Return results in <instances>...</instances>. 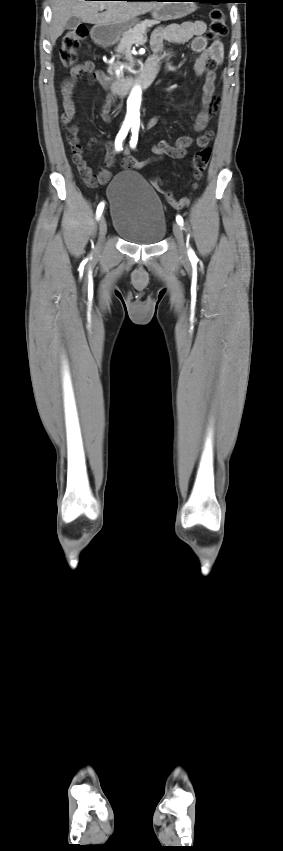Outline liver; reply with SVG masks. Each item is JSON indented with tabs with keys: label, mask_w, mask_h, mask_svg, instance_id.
I'll list each match as a JSON object with an SVG mask.
<instances>
[{
	"label": "liver",
	"mask_w": 283,
	"mask_h": 851,
	"mask_svg": "<svg viewBox=\"0 0 283 851\" xmlns=\"http://www.w3.org/2000/svg\"><path fill=\"white\" fill-rule=\"evenodd\" d=\"M52 2L49 30L52 45L62 35L67 21L72 16L80 18L85 23L109 25L134 19L163 4L156 1L52 0ZM102 6L106 11L99 13Z\"/></svg>",
	"instance_id": "obj_1"
}]
</instances>
